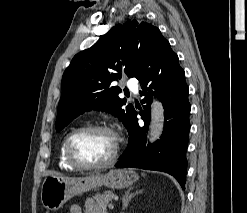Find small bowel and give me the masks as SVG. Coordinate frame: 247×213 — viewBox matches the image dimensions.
<instances>
[{"label":"small bowel","mask_w":247,"mask_h":213,"mask_svg":"<svg viewBox=\"0 0 247 213\" xmlns=\"http://www.w3.org/2000/svg\"><path fill=\"white\" fill-rule=\"evenodd\" d=\"M70 213H105L97 203L92 199H87L84 202V207L78 204H73L70 207Z\"/></svg>","instance_id":"obj_1"}]
</instances>
